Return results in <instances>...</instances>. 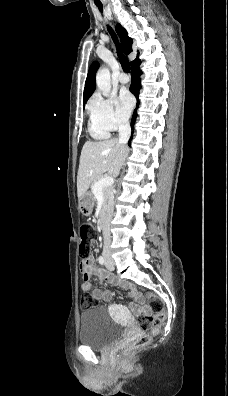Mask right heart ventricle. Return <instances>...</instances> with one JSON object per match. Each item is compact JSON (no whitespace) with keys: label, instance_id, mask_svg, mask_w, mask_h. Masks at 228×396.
<instances>
[{"label":"right heart ventricle","instance_id":"e07e8e85","mask_svg":"<svg viewBox=\"0 0 228 396\" xmlns=\"http://www.w3.org/2000/svg\"><path fill=\"white\" fill-rule=\"evenodd\" d=\"M89 132L96 139H105L109 136V132L99 127L93 120L90 122Z\"/></svg>","mask_w":228,"mask_h":396}]
</instances>
